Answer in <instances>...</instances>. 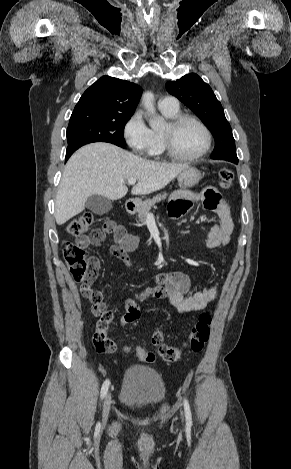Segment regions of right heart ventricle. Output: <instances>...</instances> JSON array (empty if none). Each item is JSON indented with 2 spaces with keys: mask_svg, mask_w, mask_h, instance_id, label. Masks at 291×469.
Listing matches in <instances>:
<instances>
[{
  "mask_svg": "<svg viewBox=\"0 0 291 469\" xmlns=\"http://www.w3.org/2000/svg\"><path fill=\"white\" fill-rule=\"evenodd\" d=\"M163 115L167 118H173L179 114V109L177 110H168L160 108ZM153 134V144L149 152L147 153L153 159H162L164 156V148L162 144L161 132L158 130H152Z\"/></svg>",
  "mask_w": 291,
  "mask_h": 469,
  "instance_id": "right-heart-ventricle-1",
  "label": "right heart ventricle"
}]
</instances>
